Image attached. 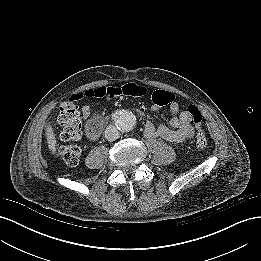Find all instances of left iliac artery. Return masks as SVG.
Wrapping results in <instances>:
<instances>
[{
  "label": "left iliac artery",
  "instance_id": "44dca946",
  "mask_svg": "<svg viewBox=\"0 0 261 261\" xmlns=\"http://www.w3.org/2000/svg\"><path fill=\"white\" fill-rule=\"evenodd\" d=\"M123 128H124V129H126V130L128 129V127H127V126H126V127H124V126H123Z\"/></svg>",
  "mask_w": 261,
  "mask_h": 261
}]
</instances>
